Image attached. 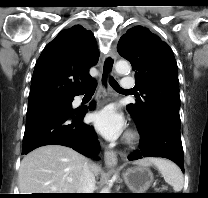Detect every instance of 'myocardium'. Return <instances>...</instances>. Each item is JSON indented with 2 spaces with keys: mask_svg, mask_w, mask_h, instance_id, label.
<instances>
[{
  "mask_svg": "<svg viewBox=\"0 0 208 198\" xmlns=\"http://www.w3.org/2000/svg\"><path fill=\"white\" fill-rule=\"evenodd\" d=\"M125 139L128 143H132L137 139V134L134 131H129L126 134Z\"/></svg>",
  "mask_w": 208,
  "mask_h": 198,
  "instance_id": "f54148a6",
  "label": "myocardium"
}]
</instances>
